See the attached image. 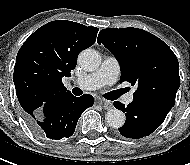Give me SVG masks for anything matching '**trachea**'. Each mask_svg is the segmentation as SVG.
Here are the masks:
<instances>
[{"label":"trachea","instance_id":"obj_1","mask_svg":"<svg viewBox=\"0 0 190 165\" xmlns=\"http://www.w3.org/2000/svg\"><path fill=\"white\" fill-rule=\"evenodd\" d=\"M78 91H79V92H78ZM74 93H76V94H81V90L78 89V88H74Z\"/></svg>","mask_w":190,"mask_h":165}]
</instances>
